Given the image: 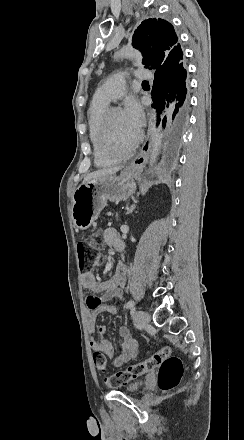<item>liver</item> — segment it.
Here are the masks:
<instances>
[{"label":"liver","instance_id":"6515ba94","mask_svg":"<svg viewBox=\"0 0 244 440\" xmlns=\"http://www.w3.org/2000/svg\"><path fill=\"white\" fill-rule=\"evenodd\" d=\"M119 170H122V168H102V170H97V172L88 174V176L84 178L82 184H88L89 180H92V178H109V176H114V174H117Z\"/></svg>","mask_w":244,"mask_h":440}]
</instances>
